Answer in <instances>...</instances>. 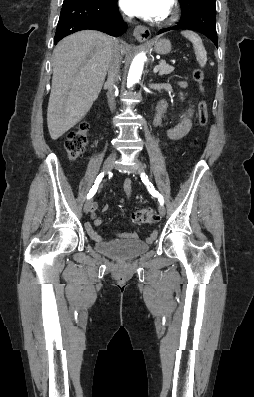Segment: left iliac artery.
I'll list each match as a JSON object with an SVG mask.
<instances>
[{
	"instance_id": "44dca946",
	"label": "left iliac artery",
	"mask_w": 254,
	"mask_h": 397,
	"mask_svg": "<svg viewBox=\"0 0 254 397\" xmlns=\"http://www.w3.org/2000/svg\"><path fill=\"white\" fill-rule=\"evenodd\" d=\"M141 180L143 181L144 184L147 185L150 194L154 197H157L160 204L163 205L164 203L163 197L158 193V191L154 189L153 185L148 180V176L145 173H141Z\"/></svg>"
}]
</instances>
